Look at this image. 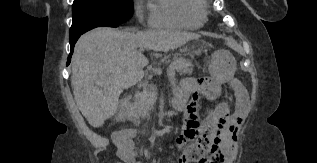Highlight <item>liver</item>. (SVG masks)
<instances>
[{"mask_svg":"<svg viewBox=\"0 0 317 163\" xmlns=\"http://www.w3.org/2000/svg\"><path fill=\"white\" fill-rule=\"evenodd\" d=\"M200 36L172 30L135 31L98 27L83 34L72 56L71 85L88 123L103 126L118 109L123 89L143 78L144 49L168 52Z\"/></svg>","mask_w":317,"mask_h":163,"instance_id":"6515ba94","label":"liver"}]
</instances>
